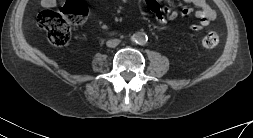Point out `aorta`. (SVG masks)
<instances>
[{"label":"aorta","mask_w":253,"mask_h":138,"mask_svg":"<svg viewBox=\"0 0 253 138\" xmlns=\"http://www.w3.org/2000/svg\"><path fill=\"white\" fill-rule=\"evenodd\" d=\"M131 40L137 45H145L147 43L148 37L144 32H137L132 35Z\"/></svg>","instance_id":"1"}]
</instances>
